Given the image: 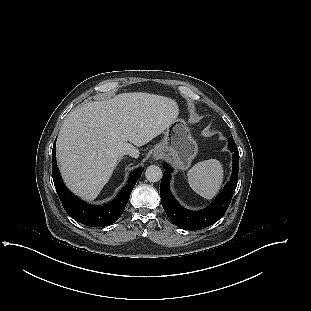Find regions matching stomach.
<instances>
[{
    "instance_id": "0dacf381",
    "label": "stomach",
    "mask_w": 311,
    "mask_h": 311,
    "mask_svg": "<svg viewBox=\"0 0 311 311\" xmlns=\"http://www.w3.org/2000/svg\"><path fill=\"white\" fill-rule=\"evenodd\" d=\"M158 152L169 158L180 170L190 167L198 147L184 120H176L166 129L163 140L155 146L154 155Z\"/></svg>"
}]
</instances>
